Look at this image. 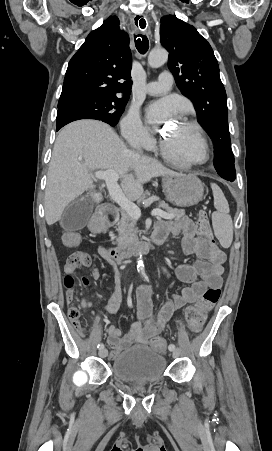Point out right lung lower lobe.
Returning a JSON list of instances; mask_svg holds the SVG:
<instances>
[{
  "instance_id": "1",
  "label": "right lung lower lobe",
  "mask_w": 272,
  "mask_h": 451,
  "mask_svg": "<svg viewBox=\"0 0 272 451\" xmlns=\"http://www.w3.org/2000/svg\"><path fill=\"white\" fill-rule=\"evenodd\" d=\"M61 127H56V130L58 131Z\"/></svg>"
}]
</instances>
